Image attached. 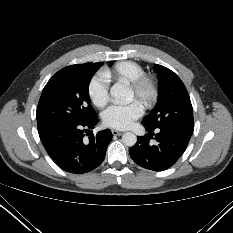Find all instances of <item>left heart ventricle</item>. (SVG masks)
I'll list each match as a JSON object with an SVG mask.
<instances>
[{"label": "left heart ventricle", "instance_id": "left-heart-ventricle-1", "mask_svg": "<svg viewBox=\"0 0 233 233\" xmlns=\"http://www.w3.org/2000/svg\"><path fill=\"white\" fill-rule=\"evenodd\" d=\"M134 98H136V96H135V93L133 92V90L131 89V93H130L129 99L132 100Z\"/></svg>", "mask_w": 233, "mask_h": 233}]
</instances>
